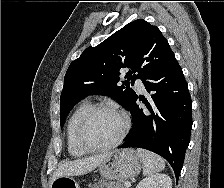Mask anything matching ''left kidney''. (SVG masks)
<instances>
[{
    "label": "left kidney",
    "instance_id": "left-kidney-1",
    "mask_svg": "<svg viewBox=\"0 0 224 188\" xmlns=\"http://www.w3.org/2000/svg\"><path fill=\"white\" fill-rule=\"evenodd\" d=\"M136 188H172V181L166 174H156L142 179Z\"/></svg>",
    "mask_w": 224,
    "mask_h": 188
}]
</instances>
